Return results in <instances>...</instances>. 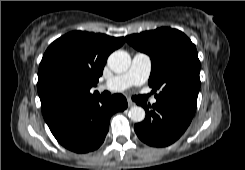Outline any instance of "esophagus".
I'll return each mask as SVG.
<instances>
[{
	"mask_svg": "<svg viewBox=\"0 0 245 170\" xmlns=\"http://www.w3.org/2000/svg\"><path fill=\"white\" fill-rule=\"evenodd\" d=\"M127 102H128V107H133V106H135V103L132 102L131 100H128Z\"/></svg>",
	"mask_w": 245,
	"mask_h": 170,
	"instance_id": "obj_1",
	"label": "esophagus"
}]
</instances>
